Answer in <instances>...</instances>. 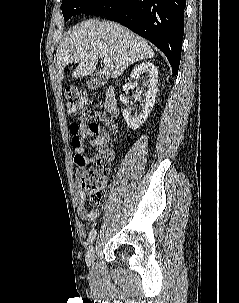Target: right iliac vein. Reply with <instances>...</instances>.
Instances as JSON below:
<instances>
[{
    "mask_svg": "<svg viewBox=\"0 0 239 303\" xmlns=\"http://www.w3.org/2000/svg\"><path fill=\"white\" fill-rule=\"evenodd\" d=\"M95 252H96L95 245L92 244L86 253V264L88 267H90L94 263Z\"/></svg>",
    "mask_w": 239,
    "mask_h": 303,
    "instance_id": "right-iliac-vein-1",
    "label": "right iliac vein"
}]
</instances>
